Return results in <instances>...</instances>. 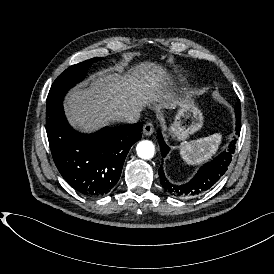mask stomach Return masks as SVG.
<instances>
[{
    "label": "stomach",
    "mask_w": 274,
    "mask_h": 274,
    "mask_svg": "<svg viewBox=\"0 0 274 274\" xmlns=\"http://www.w3.org/2000/svg\"><path fill=\"white\" fill-rule=\"evenodd\" d=\"M185 103L180 106L176 114L175 123L172 124L171 130L175 138L185 139L190 133L197 131L202 125V116L200 111L191 103L192 95L186 97Z\"/></svg>",
    "instance_id": "0dacf381"
}]
</instances>
